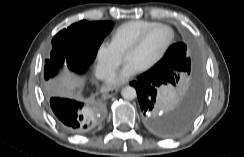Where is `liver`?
I'll use <instances>...</instances> for the list:
<instances>
[{"mask_svg": "<svg viewBox=\"0 0 244 157\" xmlns=\"http://www.w3.org/2000/svg\"><path fill=\"white\" fill-rule=\"evenodd\" d=\"M85 83L84 78L73 77L68 72L64 73L58 85L55 86L57 92L64 96H73Z\"/></svg>", "mask_w": 244, "mask_h": 157, "instance_id": "liver-1", "label": "liver"}]
</instances>
